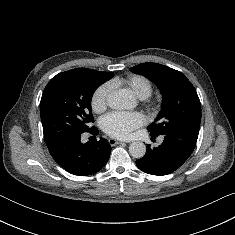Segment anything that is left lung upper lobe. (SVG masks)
I'll return each instance as SVG.
<instances>
[{"mask_svg": "<svg viewBox=\"0 0 235 235\" xmlns=\"http://www.w3.org/2000/svg\"><path fill=\"white\" fill-rule=\"evenodd\" d=\"M130 71L148 78L162 93L160 113L148 126L150 134L158 136L175 130L199 132L200 100L183 73L157 63H141L130 68Z\"/></svg>", "mask_w": 235, "mask_h": 235, "instance_id": "1", "label": "left lung upper lobe"}]
</instances>
